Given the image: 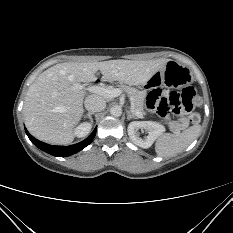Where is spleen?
Segmentation results:
<instances>
[{
	"instance_id": "3e777b00",
	"label": "spleen",
	"mask_w": 233,
	"mask_h": 233,
	"mask_svg": "<svg viewBox=\"0 0 233 233\" xmlns=\"http://www.w3.org/2000/svg\"><path fill=\"white\" fill-rule=\"evenodd\" d=\"M200 125H194L182 133H166L158 138L155 151L159 156H172L185 150L200 134Z\"/></svg>"
}]
</instances>
